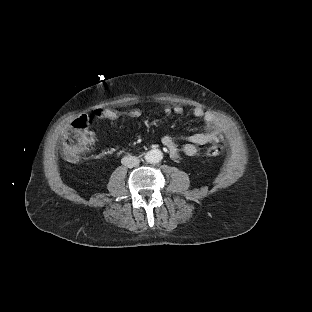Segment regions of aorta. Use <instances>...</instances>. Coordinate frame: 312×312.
Wrapping results in <instances>:
<instances>
[{
    "label": "aorta",
    "mask_w": 312,
    "mask_h": 312,
    "mask_svg": "<svg viewBox=\"0 0 312 312\" xmlns=\"http://www.w3.org/2000/svg\"><path fill=\"white\" fill-rule=\"evenodd\" d=\"M163 157L164 154L160 149H152L147 155V160L152 163H158L162 161Z\"/></svg>",
    "instance_id": "762f6f07"
}]
</instances>
